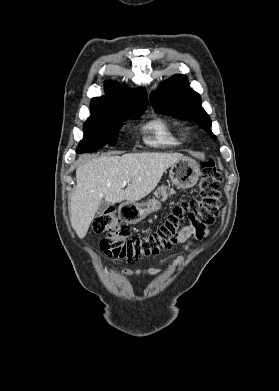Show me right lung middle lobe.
Segmentation results:
<instances>
[{
  "mask_svg": "<svg viewBox=\"0 0 279 391\" xmlns=\"http://www.w3.org/2000/svg\"><path fill=\"white\" fill-rule=\"evenodd\" d=\"M142 108L133 112L92 113L84 123V138L77 147L78 153L92 152L105 144L114 145L118 138L119 124L129 118H137Z\"/></svg>",
  "mask_w": 279,
  "mask_h": 391,
  "instance_id": "right-lung-middle-lobe-1",
  "label": "right lung middle lobe"
}]
</instances>
